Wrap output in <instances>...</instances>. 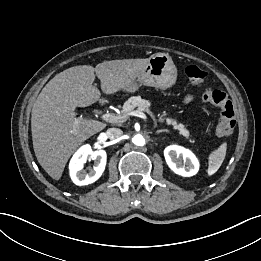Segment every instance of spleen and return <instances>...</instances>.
Masks as SVG:
<instances>
[{
    "mask_svg": "<svg viewBox=\"0 0 261 261\" xmlns=\"http://www.w3.org/2000/svg\"><path fill=\"white\" fill-rule=\"evenodd\" d=\"M226 149H227V145L226 143H223L219 146L217 150L213 151L209 155L208 169H207L208 176H212L218 171V169L220 168V166L222 165L225 159Z\"/></svg>",
    "mask_w": 261,
    "mask_h": 261,
    "instance_id": "3e777b00",
    "label": "spleen"
}]
</instances>
